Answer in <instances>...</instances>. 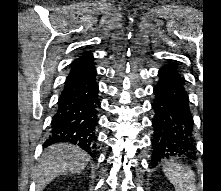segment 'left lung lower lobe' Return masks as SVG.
<instances>
[{
	"mask_svg": "<svg viewBox=\"0 0 221 191\" xmlns=\"http://www.w3.org/2000/svg\"><path fill=\"white\" fill-rule=\"evenodd\" d=\"M159 82L154 87L155 111L152 140V167L161 159L187 156L194 159V121L185 87V78L173 64L162 67Z\"/></svg>",
	"mask_w": 221,
	"mask_h": 191,
	"instance_id": "obj_1",
	"label": "left lung lower lobe"
}]
</instances>
